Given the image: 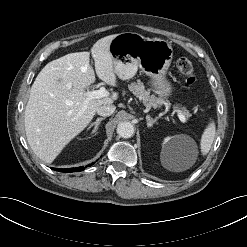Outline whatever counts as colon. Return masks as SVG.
Listing matches in <instances>:
<instances>
[{
    "label": "colon",
    "mask_w": 247,
    "mask_h": 247,
    "mask_svg": "<svg viewBox=\"0 0 247 247\" xmlns=\"http://www.w3.org/2000/svg\"><path fill=\"white\" fill-rule=\"evenodd\" d=\"M177 68L187 85L192 86L196 83V76L192 64L188 59L181 58L177 62Z\"/></svg>",
    "instance_id": "1"
}]
</instances>
